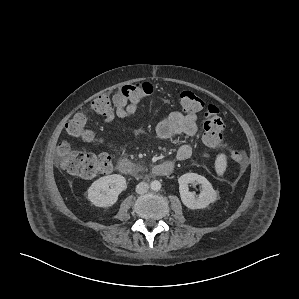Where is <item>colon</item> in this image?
<instances>
[{"instance_id":"1","label":"colon","mask_w":299,"mask_h":299,"mask_svg":"<svg viewBox=\"0 0 299 299\" xmlns=\"http://www.w3.org/2000/svg\"><path fill=\"white\" fill-rule=\"evenodd\" d=\"M153 86L148 82H136L120 89L124 98L132 102H140L149 98L153 93ZM181 109L187 113L203 112V142L217 153H227L239 166L245 167L248 159L242 151L228 149L223 132L225 124L220 116L219 108L214 104L205 103L192 91H182L178 97ZM112 108V99L109 95H101L90 104V110L100 115H106ZM67 133L86 142H93L95 134L87 127V118L84 114L74 115L66 125ZM60 167L68 174L92 178L96 175L108 173L112 169L110 154L99 155L84 153L73 149L68 143L63 142L58 147Z\"/></svg>"}]
</instances>
